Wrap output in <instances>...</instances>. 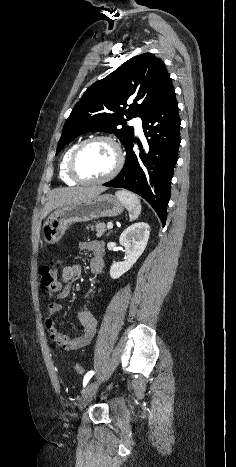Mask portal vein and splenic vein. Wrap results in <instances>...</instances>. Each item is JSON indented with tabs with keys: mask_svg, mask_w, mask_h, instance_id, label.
<instances>
[{
	"mask_svg": "<svg viewBox=\"0 0 236 467\" xmlns=\"http://www.w3.org/2000/svg\"><path fill=\"white\" fill-rule=\"evenodd\" d=\"M107 228H108V229H112V228H113V223H112V222H108V223H107Z\"/></svg>",
	"mask_w": 236,
	"mask_h": 467,
	"instance_id": "18ae733b",
	"label": "portal vein and splenic vein"
}]
</instances>
